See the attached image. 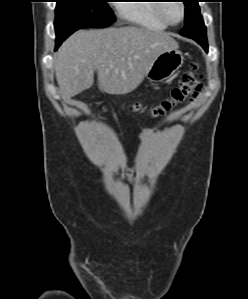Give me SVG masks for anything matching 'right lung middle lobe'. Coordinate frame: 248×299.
<instances>
[{
  "mask_svg": "<svg viewBox=\"0 0 248 299\" xmlns=\"http://www.w3.org/2000/svg\"><path fill=\"white\" fill-rule=\"evenodd\" d=\"M108 0H57L55 9L56 48L74 31L109 26L115 21Z\"/></svg>",
  "mask_w": 248,
  "mask_h": 299,
  "instance_id": "1",
  "label": "right lung middle lobe"
}]
</instances>
